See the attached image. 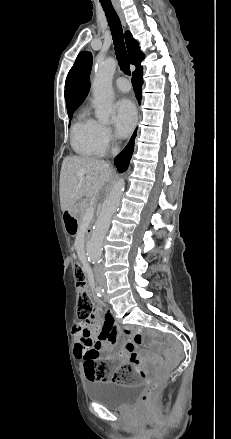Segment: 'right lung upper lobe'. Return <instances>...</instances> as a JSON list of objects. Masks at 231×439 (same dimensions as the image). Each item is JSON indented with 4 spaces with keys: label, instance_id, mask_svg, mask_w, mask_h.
<instances>
[{
    "label": "right lung upper lobe",
    "instance_id": "1",
    "mask_svg": "<svg viewBox=\"0 0 231 439\" xmlns=\"http://www.w3.org/2000/svg\"><path fill=\"white\" fill-rule=\"evenodd\" d=\"M125 41L131 64L135 65L136 69L141 67L140 63L144 59V54L140 51L138 42L129 31L125 33ZM91 67L92 55L88 52L79 66L68 73L65 82L67 110L77 108L86 98L90 89Z\"/></svg>",
    "mask_w": 231,
    "mask_h": 439
}]
</instances>
